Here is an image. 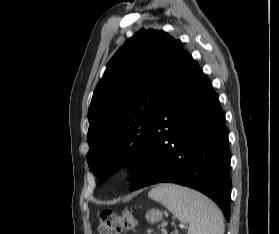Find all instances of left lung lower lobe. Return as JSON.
<instances>
[{
	"mask_svg": "<svg viewBox=\"0 0 279 234\" xmlns=\"http://www.w3.org/2000/svg\"><path fill=\"white\" fill-rule=\"evenodd\" d=\"M209 196L230 220V151L225 115L209 79L183 50L154 113L149 143L130 191L160 183Z\"/></svg>",
	"mask_w": 279,
	"mask_h": 234,
	"instance_id": "1",
	"label": "left lung lower lobe"
}]
</instances>
